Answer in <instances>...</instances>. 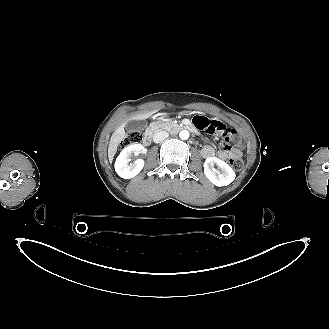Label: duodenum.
<instances>
[{"label": "duodenum", "mask_w": 329, "mask_h": 329, "mask_svg": "<svg viewBox=\"0 0 329 329\" xmlns=\"http://www.w3.org/2000/svg\"><path fill=\"white\" fill-rule=\"evenodd\" d=\"M182 129H190V128H189V126H187V125H183V126H182ZM151 141H152V133H151L150 131H148V132L145 134L144 138H143V143H144L145 145H149V144L151 143Z\"/></svg>", "instance_id": "1"}]
</instances>
